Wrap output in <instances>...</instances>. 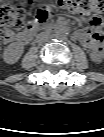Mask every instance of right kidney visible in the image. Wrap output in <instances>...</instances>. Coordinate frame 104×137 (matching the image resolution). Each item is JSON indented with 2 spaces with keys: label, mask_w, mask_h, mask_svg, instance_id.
Returning <instances> with one entry per match:
<instances>
[{
  "label": "right kidney",
  "mask_w": 104,
  "mask_h": 137,
  "mask_svg": "<svg viewBox=\"0 0 104 137\" xmlns=\"http://www.w3.org/2000/svg\"><path fill=\"white\" fill-rule=\"evenodd\" d=\"M24 52V47L20 43H11L3 53V60L8 64L16 63Z\"/></svg>",
  "instance_id": "1"
}]
</instances>
